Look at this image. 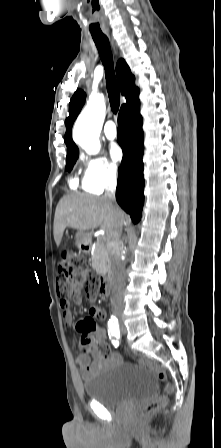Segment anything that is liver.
Wrapping results in <instances>:
<instances>
[{
    "label": "liver",
    "instance_id": "1",
    "mask_svg": "<svg viewBox=\"0 0 221 448\" xmlns=\"http://www.w3.org/2000/svg\"><path fill=\"white\" fill-rule=\"evenodd\" d=\"M126 221V214L105 197L67 195L60 199L54 217V240L59 246L67 227L88 231L101 227L107 238Z\"/></svg>",
    "mask_w": 221,
    "mask_h": 448
}]
</instances>
